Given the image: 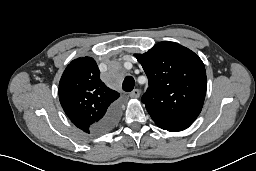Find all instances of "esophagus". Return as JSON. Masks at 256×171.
Masks as SVG:
<instances>
[{"instance_id":"34e87169","label":"esophagus","mask_w":256,"mask_h":171,"mask_svg":"<svg viewBox=\"0 0 256 171\" xmlns=\"http://www.w3.org/2000/svg\"><path fill=\"white\" fill-rule=\"evenodd\" d=\"M129 96L131 97V98H139V96H140V90L139 89H134L130 94H129Z\"/></svg>"}]
</instances>
